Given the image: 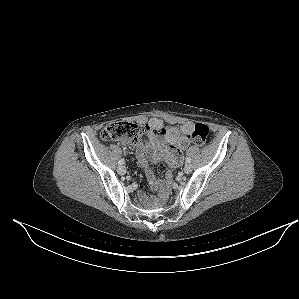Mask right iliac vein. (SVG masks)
Here are the masks:
<instances>
[{"instance_id": "63e3f726", "label": "right iliac vein", "mask_w": 299, "mask_h": 299, "mask_svg": "<svg viewBox=\"0 0 299 299\" xmlns=\"http://www.w3.org/2000/svg\"><path fill=\"white\" fill-rule=\"evenodd\" d=\"M117 172L120 174V175H124L126 173V168L124 165H119L118 168H117Z\"/></svg>"}]
</instances>
